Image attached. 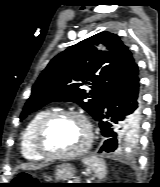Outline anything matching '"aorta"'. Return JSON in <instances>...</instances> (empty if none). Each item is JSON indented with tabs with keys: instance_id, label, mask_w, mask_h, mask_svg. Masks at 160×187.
<instances>
[{
	"instance_id": "aorta-1",
	"label": "aorta",
	"mask_w": 160,
	"mask_h": 187,
	"mask_svg": "<svg viewBox=\"0 0 160 187\" xmlns=\"http://www.w3.org/2000/svg\"><path fill=\"white\" fill-rule=\"evenodd\" d=\"M130 146H131L130 144H127V143H126V144H125V147H124L125 150H129V147H130Z\"/></svg>"
}]
</instances>
